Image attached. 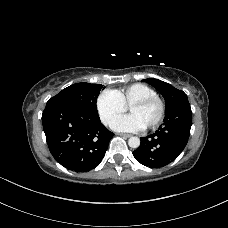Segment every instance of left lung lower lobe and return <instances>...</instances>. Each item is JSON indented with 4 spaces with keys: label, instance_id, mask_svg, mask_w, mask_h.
<instances>
[{
    "label": "left lung lower lobe",
    "instance_id": "left-lung-lower-lobe-1",
    "mask_svg": "<svg viewBox=\"0 0 228 228\" xmlns=\"http://www.w3.org/2000/svg\"><path fill=\"white\" fill-rule=\"evenodd\" d=\"M181 114L165 115L159 129L141 138L140 146L133 152L135 159L144 166L160 168L174 161L184 150L190 135L192 111L189 103L180 107Z\"/></svg>",
    "mask_w": 228,
    "mask_h": 228
}]
</instances>
